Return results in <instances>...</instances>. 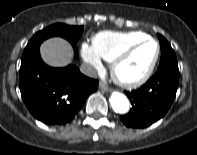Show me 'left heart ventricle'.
I'll return each instance as SVG.
<instances>
[{"mask_svg":"<svg viewBox=\"0 0 197 155\" xmlns=\"http://www.w3.org/2000/svg\"><path fill=\"white\" fill-rule=\"evenodd\" d=\"M156 51V45L148 42L140 46L119 67V73L126 79H135L141 76L150 65Z\"/></svg>","mask_w":197,"mask_h":155,"instance_id":"1","label":"left heart ventricle"}]
</instances>
